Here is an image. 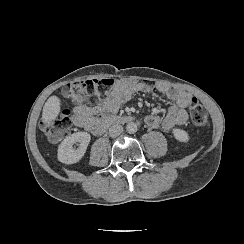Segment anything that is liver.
I'll list each match as a JSON object with an SVG mask.
<instances>
[{"mask_svg":"<svg viewBox=\"0 0 244 244\" xmlns=\"http://www.w3.org/2000/svg\"><path fill=\"white\" fill-rule=\"evenodd\" d=\"M60 112V99L53 95L45 102L42 112V120L49 123L55 120Z\"/></svg>","mask_w":244,"mask_h":244,"instance_id":"liver-1","label":"liver"}]
</instances>
